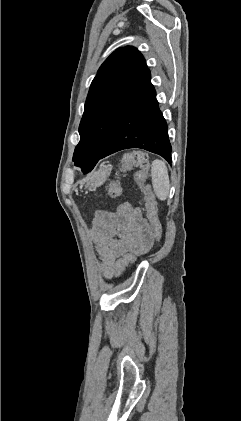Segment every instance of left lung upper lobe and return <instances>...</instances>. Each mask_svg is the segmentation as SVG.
Returning a JSON list of instances; mask_svg holds the SVG:
<instances>
[{
  "mask_svg": "<svg viewBox=\"0 0 241 421\" xmlns=\"http://www.w3.org/2000/svg\"><path fill=\"white\" fill-rule=\"evenodd\" d=\"M146 69L141 53L130 46L117 49L101 65L79 126L81 139L73 155L76 166L93 163L103 153Z\"/></svg>",
  "mask_w": 241,
  "mask_h": 421,
  "instance_id": "left-lung-upper-lobe-1",
  "label": "left lung upper lobe"
}]
</instances>
